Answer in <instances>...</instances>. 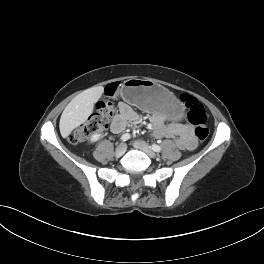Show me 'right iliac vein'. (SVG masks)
<instances>
[{"instance_id":"63e3f726","label":"right iliac vein","mask_w":264,"mask_h":264,"mask_svg":"<svg viewBox=\"0 0 264 264\" xmlns=\"http://www.w3.org/2000/svg\"><path fill=\"white\" fill-rule=\"evenodd\" d=\"M127 146L125 143H121L117 146L116 150H115V155L117 157L122 156L125 152H126Z\"/></svg>"}]
</instances>
